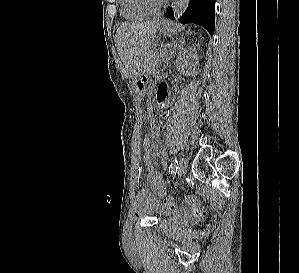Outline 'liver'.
<instances>
[{"instance_id": "obj_1", "label": "liver", "mask_w": 299, "mask_h": 273, "mask_svg": "<svg viewBox=\"0 0 299 273\" xmlns=\"http://www.w3.org/2000/svg\"><path fill=\"white\" fill-rule=\"evenodd\" d=\"M158 24V20L131 22L117 29L115 46L130 77L138 76L145 53L154 42Z\"/></svg>"}]
</instances>
